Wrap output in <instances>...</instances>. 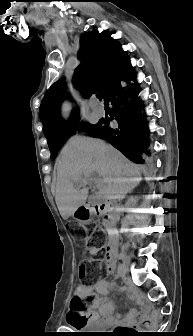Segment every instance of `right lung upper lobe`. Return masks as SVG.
Segmentation results:
<instances>
[{"instance_id":"cb5924a9","label":"right lung upper lobe","mask_w":193,"mask_h":336,"mask_svg":"<svg viewBox=\"0 0 193 336\" xmlns=\"http://www.w3.org/2000/svg\"><path fill=\"white\" fill-rule=\"evenodd\" d=\"M78 58L81 64L75 69L73 82L85 97L100 91L105 97L124 68L130 63L120 44L108 33L97 30L80 37ZM68 97L63 80L56 81L46 92L40 109L43 132L48 141L66 132L77 122L76 111L70 122L62 120L61 102Z\"/></svg>"}]
</instances>
